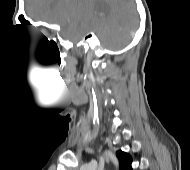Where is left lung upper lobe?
<instances>
[{
	"instance_id": "left-lung-upper-lobe-1",
	"label": "left lung upper lobe",
	"mask_w": 190,
	"mask_h": 170,
	"mask_svg": "<svg viewBox=\"0 0 190 170\" xmlns=\"http://www.w3.org/2000/svg\"><path fill=\"white\" fill-rule=\"evenodd\" d=\"M119 162H120V170H132L131 163H132V158L129 154L122 152V151H117L116 153Z\"/></svg>"
}]
</instances>
